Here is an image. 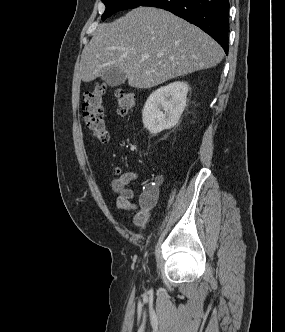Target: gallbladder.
I'll use <instances>...</instances> for the list:
<instances>
[{
  "mask_svg": "<svg viewBox=\"0 0 285 332\" xmlns=\"http://www.w3.org/2000/svg\"><path fill=\"white\" fill-rule=\"evenodd\" d=\"M126 79V74L118 68H112L102 75V80L111 87L123 84Z\"/></svg>",
  "mask_w": 285,
  "mask_h": 332,
  "instance_id": "1",
  "label": "gallbladder"
}]
</instances>
